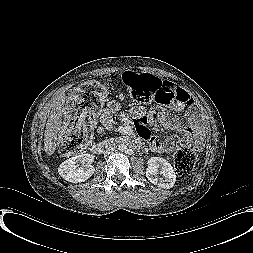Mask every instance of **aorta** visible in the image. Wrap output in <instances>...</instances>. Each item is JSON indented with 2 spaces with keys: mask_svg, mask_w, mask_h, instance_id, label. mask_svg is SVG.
Wrapping results in <instances>:
<instances>
[{
  "mask_svg": "<svg viewBox=\"0 0 253 253\" xmlns=\"http://www.w3.org/2000/svg\"><path fill=\"white\" fill-rule=\"evenodd\" d=\"M118 147H119V150H120V151H125L127 146H126L125 143L122 142V143L119 144Z\"/></svg>",
  "mask_w": 253,
  "mask_h": 253,
  "instance_id": "1",
  "label": "aorta"
}]
</instances>
